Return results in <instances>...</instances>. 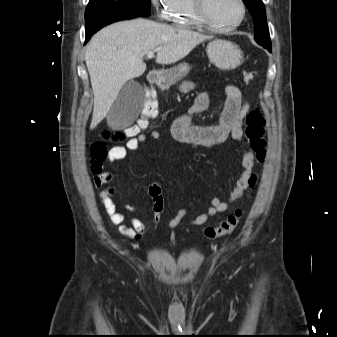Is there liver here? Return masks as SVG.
Masks as SVG:
<instances>
[{"instance_id": "obj_1", "label": "liver", "mask_w": 337, "mask_h": 337, "mask_svg": "<svg viewBox=\"0 0 337 337\" xmlns=\"http://www.w3.org/2000/svg\"><path fill=\"white\" fill-rule=\"evenodd\" d=\"M208 36L147 19L111 24L96 33L86 48L85 61L94 93L90 129L110 111L120 90L146 70L143 57L156 51L158 64H172L187 56Z\"/></svg>"}]
</instances>
